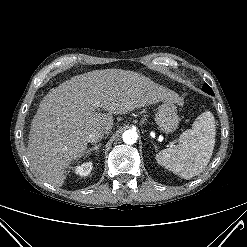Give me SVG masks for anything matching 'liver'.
Wrapping results in <instances>:
<instances>
[{"label": "liver", "mask_w": 247, "mask_h": 247, "mask_svg": "<svg viewBox=\"0 0 247 247\" xmlns=\"http://www.w3.org/2000/svg\"><path fill=\"white\" fill-rule=\"evenodd\" d=\"M178 103L180 96L151 79L121 69L95 70L53 88L32 120L28 158L41 179L61 187L65 169L87 149V136L111 132L113 114H125L158 102ZM99 108L106 112H97Z\"/></svg>", "instance_id": "liver-1"}]
</instances>
